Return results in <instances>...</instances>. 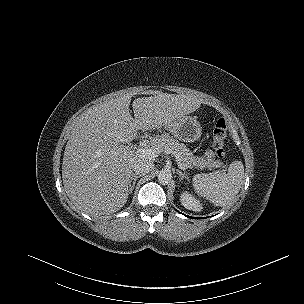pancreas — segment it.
<instances>
[{"mask_svg":"<svg viewBox=\"0 0 304 304\" xmlns=\"http://www.w3.org/2000/svg\"><path fill=\"white\" fill-rule=\"evenodd\" d=\"M152 144L159 146L161 152L171 153L176 158L177 163L182 164L185 168L212 169L224 167L223 163L214 159L205 160L201 157H195L185 144L179 143L169 134H162L156 137Z\"/></svg>","mask_w":304,"mask_h":304,"instance_id":"1","label":"pancreas"}]
</instances>
